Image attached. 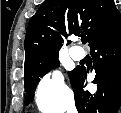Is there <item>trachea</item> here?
<instances>
[{
  "instance_id": "1",
  "label": "trachea",
  "mask_w": 121,
  "mask_h": 113,
  "mask_svg": "<svg viewBox=\"0 0 121 113\" xmlns=\"http://www.w3.org/2000/svg\"><path fill=\"white\" fill-rule=\"evenodd\" d=\"M81 41H82L83 44H85V43H87V38L86 37H82Z\"/></svg>"
}]
</instances>
